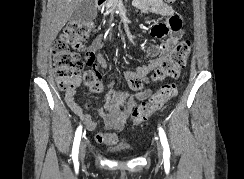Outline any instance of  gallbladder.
Masks as SVG:
<instances>
[{"instance_id":"1","label":"gallbladder","mask_w":244,"mask_h":179,"mask_svg":"<svg viewBox=\"0 0 244 179\" xmlns=\"http://www.w3.org/2000/svg\"><path fill=\"white\" fill-rule=\"evenodd\" d=\"M96 16L97 8L95 0H82L77 10L72 14L70 22H74V24H86V22L95 20Z\"/></svg>"}]
</instances>
